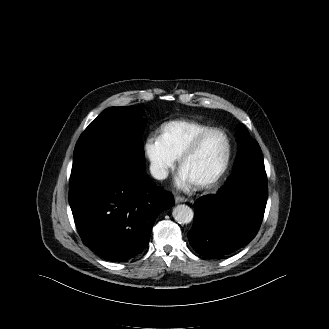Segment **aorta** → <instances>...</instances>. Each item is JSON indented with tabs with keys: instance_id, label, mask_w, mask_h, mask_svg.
<instances>
[{
	"instance_id": "1",
	"label": "aorta",
	"mask_w": 329,
	"mask_h": 329,
	"mask_svg": "<svg viewBox=\"0 0 329 329\" xmlns=\"http://www.w3.org/2000/svg\"><path fill=\"white\" fill-rule=\"evenodd\" d=\"M173 218L179 224H188L193 220V210L185 204L177 205L172 212Z\"/></svg>"
}]
</instances>
